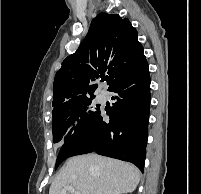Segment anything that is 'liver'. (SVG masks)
Returning a JSON list of instances; mask_svg holds the SVG:
<instances>
[{
	"mask_svg": "<svg viewBox=\"0 0 201 194\" xmlns=\"http://www.w3.org/2000/svg\"><path fill=\"white\" fill-rule=\"evenodd\" d=\"M139 181L140 171L130 163L97 154L80 155L66 162L49 194H60L66 186L80 194H126L133 192Z\"/></svg>",
	"mask_w": 201,
	"mask_h": 194,
	"instance_id": "obj_1",
	"label": "liver"
}]
</instances>
